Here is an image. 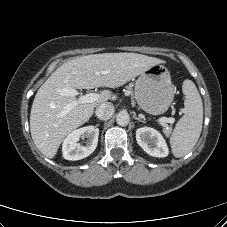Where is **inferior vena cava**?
<instances>
[{
    "instance_id": "602c4592",
    "label": "inferior vena cava",
    "mask_w": 227,
    "mask_h": 227,
    "mask_svg": "<svg viewBox=\"0 0 227 227\" xmlns=\"http://www.w3.org/2000/svg\"><path fill=\"white\" fill-rule=\"evenodd\" d=\"M114 111V105L112 103L105 102L96 108L95 114L100 120H108L113 116Z\"/></svg>"
}]
</instances>
